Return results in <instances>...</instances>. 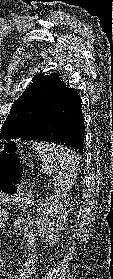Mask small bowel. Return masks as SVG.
I'll return each mask as SVG.
<instances>
[{
  "label": "small bowel",
  "mask_w": 113,
  "mask_h": 279,
  "mask_svg": "<svg viewBox=\"0 0 113 279\" xmlns=\"http://www.w3.org/2000/svg\"><path fill=\"white\" fill-rule=\"evenodd\" d=\"M11 201L18 203L19 206L26 208L32 204V199L29 194L20 192L9 197L8 195L0 194V230L5 227V222L8 219V212L1 208V204H7ZM14 232L21 237V244L25 250V259L21 265V269L17 274H11L3 271L5 279H32L36 272L37 254H36V238L31 226V221L28 218L18 217L13 222ZM1 262V259H0ZM3 262L0 265V269Z\"/></svg>",
  "instance_id": "obj_1"
}]
</instances>
